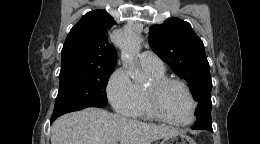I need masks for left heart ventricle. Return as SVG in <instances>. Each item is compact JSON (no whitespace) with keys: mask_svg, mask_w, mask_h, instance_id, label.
Segmentation results:
<instances>
[{"mask_svg":"<svg viewBox=\"0 0 260 144\" xmlns=\"http://www.w3.org/2000/svg\"><path fill=\"white\" fill-rule=\"evenodd\" d=\"M160 106L164 114L177 122H186L191 117V102L180 86L167 88L161 99Z\"/></svg>","mask_w":260,"mask_h":144,"instance_id":"obj_1","label":"left heart ventricle"}]
</instances>
